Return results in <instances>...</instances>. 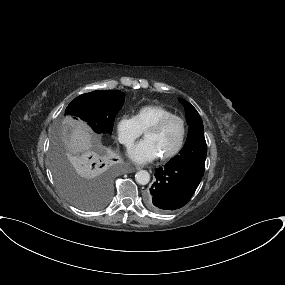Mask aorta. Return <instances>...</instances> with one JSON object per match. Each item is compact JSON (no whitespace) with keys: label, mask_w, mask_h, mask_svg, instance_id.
I'll return each instance as SVG.
<instances>
[{"label":"aorta","mask_w":285,"mask_h":285,"mask_svg":"<svg viewBox=\"0 0 285 285\" xmlns=\"http://www.w3.org/2000/svg\"><path fill=\"white\" fill-rule=\"evenodd\" d=\"M135 180L140 185H146L150 181V174L146 170H140L135 174Z\"/></svg>","instance_id":"obj_1"}]
</instances>
